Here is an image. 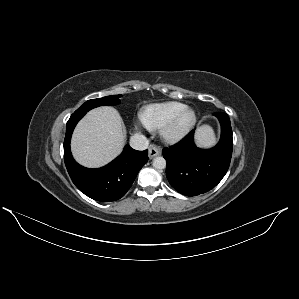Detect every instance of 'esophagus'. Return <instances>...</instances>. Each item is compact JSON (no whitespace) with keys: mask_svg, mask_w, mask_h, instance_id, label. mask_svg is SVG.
I'll list each match as a JSON object with an SVG mask.
<instances>
[{"mask_svg":"<svg viewBox=\"0 0 299 299\" xmlns=\"http://www.w3.org/2000/svg\"><path fill=\"white\" fill-rule=\"evenodd\" d=\"M161 150L158 146L152 144L149 147V158L152 159L153 157L160 155Z\"/></svg>","mask_w":299,"mask_h":299,"instance_id":"esophagus-1","label":"esophagus"}]
</instances>
